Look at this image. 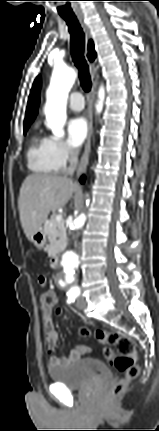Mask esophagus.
Returning <instances> with one entry per match:
<instances>
[{"label": "esophagus", "mask_w": 159, "mask_h": 431, "mask_svg": "<svg viewBox=\"0 0 159 431\" xmlns=\"http://www.w3.org/2000/svg\"><path fill=\"white\" fill-rule=\"evenodd\" d=\"M78 20L85 33L86 41H88L90 38L89 27L85 23L84 18L82 16L78 17ZM89 66H90L92 88H91L89 104H88V135L85 143V149L78 166L77 176H79L86 169L88 165L89 155H90V143H91V137L93 132V104H94V99H95V94L97 89V68L95 67L94 63H91V62H89Z\"/></svg>", "instance_id": "1"}]
</instances>
